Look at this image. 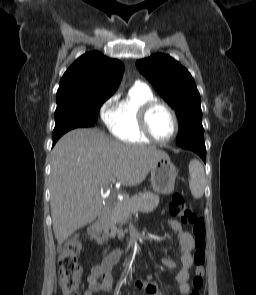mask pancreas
<instances>
[{"mask_svg": "<svg viewBox=\"0 0 256 295\" xmlns=\"http://www.w3.org/2000/svg\"><path fill=\"white\" fill-rule=\"evenodd\" d=\"M146 195L140 193L122 202L115 203L107 220L104 222L105 232L107 233L111 229L110 234H108L110 238H114L116 235L119 238L124 237V232L122 229L117 228V224L126 223L132 217V214L137 212L149 213L158 206V195L152 192H147Z\"/></svg>", "mask_w": 256, "mask_h": 295, "instance_id": "cf45deb5", "label": "pancreas"}]
</instances>
